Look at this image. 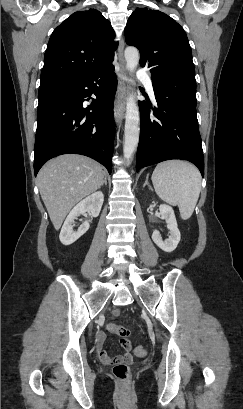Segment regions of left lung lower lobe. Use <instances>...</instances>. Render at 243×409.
Returning <instances> with one entry per match:
<instances>
[{
  "instance_id": "0a47b994",
  "label": "left lung lower lobe",
  "mask_w": 243,
  "mask_h": 409,
  "mask_svg": "<svg viewBox=\"0 0 243 409\" xmlns=\"http://www.w3.org/2000/svg\"><path fill=\"white\" fill-rule=\"evenodd\" d=\"M157 107L139 103L140 139L136 171L169 159L188 160L204 176L196 113L195 73L177 72L152 80Z\"/></svg>"
}]
</instances>
